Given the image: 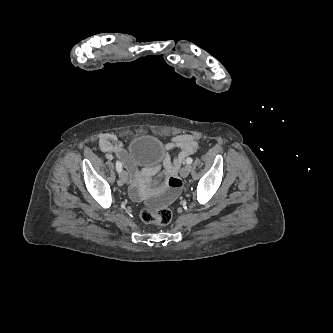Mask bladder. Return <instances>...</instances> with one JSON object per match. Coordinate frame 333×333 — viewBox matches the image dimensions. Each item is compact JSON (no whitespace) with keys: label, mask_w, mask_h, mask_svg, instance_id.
Instances as JSON below:
<instances>
[{"label":"bladder","mask_w":333,"mask_h":333,"mask_svg":"<svg viewBox=\"0 0 333 333\" xmlns=\"http://www.w3.org/2000/svg\"><path fill=\"white\" fill-rule=\"evenodd\" d=\"M165 155L162 141L149 134L135 136L128 148V157L141 166H153L159 163Z\"/></svg>","instance_id":"31cf9c89"}]
</instances>
